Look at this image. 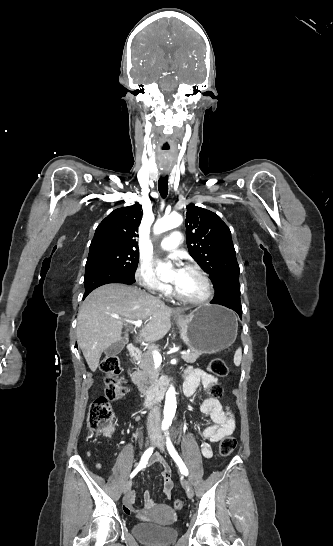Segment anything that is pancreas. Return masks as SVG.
Masks as SVG:
<instances>
[{
    "instance_id": "1",
    "label": "pancreas",
    "mask_w": 333,
    "mask_h": 546,
    "mask_svg": "<svg viewBox=\"0 0 333 546\" xmlns=\"http://www.w3.org/2000/svg\"><path fill=\"white\" fill-rule=\"evenodd\" d=\"M160 351L156 348H148L141 356L138 370L133 376L132 381L138 386L139 391L145 392L147 390V385L154 381L157 376V371L154 365V359L152 356L153 350ZM202 353L197 350H192L191 352L182 355V359L187 363H194Z\"/></svg>"
}]
</instances>
